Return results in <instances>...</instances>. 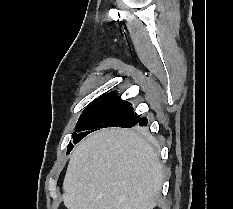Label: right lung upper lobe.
<instances>
[{"mask_svg": "<svg viewBox=\"0 0 233 209\" xmlns=\"http://www.w3.org/2000/svg\"><path fill=\"white\" fill-rule=\"evenodd\" d=\"M100 103H128L127 101H123L115 91L107 93L98 99L94 100L92 104H100Z\"/></svg>", "mask_w": 233, "mask_h": 209, "instance_id": "cb5924a9", "label": "right lung upper lobe"}]
</instances>
